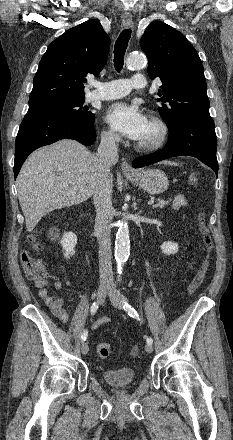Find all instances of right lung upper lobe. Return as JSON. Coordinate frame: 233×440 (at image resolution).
<instances>
[{"mask_svg": "<svg viewBox=\"0 0 233 440\" xmlns=\"http://www.w3.org/2000/svg\"><path fill=\"white\" fill-rule=\"evenodd\" d=\"M110 38L98 21L88 20L54 40L33 80L29 104L57 98H84L87 75L103 69Z\"/></svg>", "mask_w": 233, "mask_h": 440, "instance_id": "obj_1", "label": "right lung upper lobe"}]
</instances>
